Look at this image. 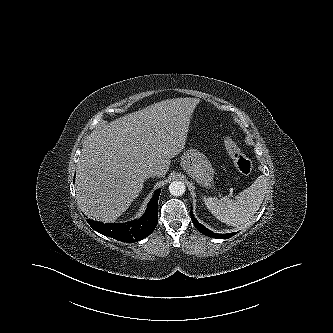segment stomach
Instances as JSON below:
<instances>
[{"label":"stomach","mask_w":333,"mask_h":333,"mask_svg":"<svg viewBox=\"0 0 333 333\" xmlns=\"http://www.w3.org/2000/svg\"><path fill=\"white\" fill-rule=\"evenodd\" d=\"M182 169L204 187L213 183L214 170L208 158L195 147L188 148L182 155Z\"/></svg>","instance_id":"stomach-1"}]
</instances>
